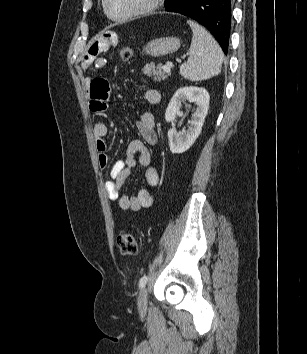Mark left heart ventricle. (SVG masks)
Returning a JSON list of instances; mask_svg holds the SVG:
<instances>
[{
	"label": "left heart ventricle",
	"mask_w": 307,
	"mask_h": 354,
	"mask_svg": "<svg viewBox=\"0 0 307 354\" xmlns=\"http://www.w3.org/2000/svg\"><path fill=\"white\" fill-rule=\"evenodd\" d=\"M148 0H108L109 11L114 16H124L142 7Z\"/></svg>",
	"instance_id": "obj_1"
}]
</instances>
